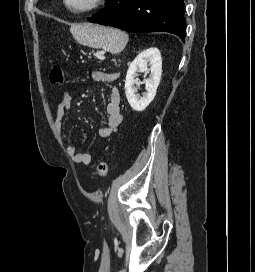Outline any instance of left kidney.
<instances>
[{"label": "left kidney", "mask_w": 255, "mask_h": 272, "mask_svg": "<svg viewBox=\"0 0 255 272\" xmlns=\"http://www.w3.org/2000/svg\"><path fill=\"white\" fill-rule=\"evenodd\" d=\"M149 71V79L143 81L147 92L143 97H140L136 94L137 88L134 86L140 83L136 78L138 76L137 72L147 74ZM161 74L162 58L157 48L152 47L144 50L130 64L125 80V93L133 110L143 111L153 101L160 83Z\"/></svg>", "instance_id": "left-kidney-1"}]
</instances>
